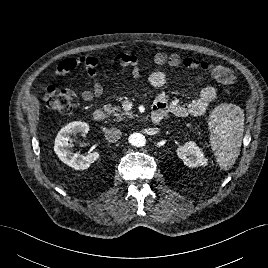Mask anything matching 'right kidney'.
I'll list each match as a JSON object with an SVG mask.
<instances>
[{
    "label": "right kidney",
    "instance_id": "obj_1",
    "mask_svg": "<svg viewBox=\"0 0 268 268\" xmlns=\"http://www.w3.org/2000/svg\"><path fill=\"white\" fill-rule=\"evenodd\" d=\"M89 132V125L85 122L75 121L63 127L55 138L54 151L58 158L68 166L75 170H84L94 163L99 158L98 152H92L86 156L79 153H73L69 150L71 147V136L80 134H87Z\"/></svg>",
    "mask_w": 268,
    "mask_h": 268
}]
</instances>
